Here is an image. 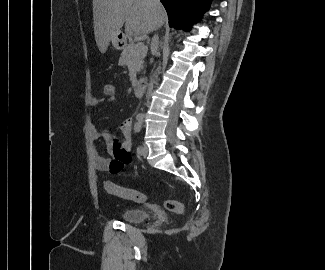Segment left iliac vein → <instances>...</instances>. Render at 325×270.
Here are the masks:
<instances>
[{
    "label": "left iliac vein",
    "mask_w": 325,
    "mask_h": 270,
    "mask_svg": "<svg viewBox=\"0 0 325 270\" xmlns=\"http://www.w3.org/2000/svg\"><path fill=\"white\" fill-rule=\"evenodd\" d=\"M148 151H149V149H148L147 145L144 144L142 146V152L140 153V155H142L143 157H146L148 155Z\"/></svg>",
    "instance_id": "obj_1"
}]
</instances>
